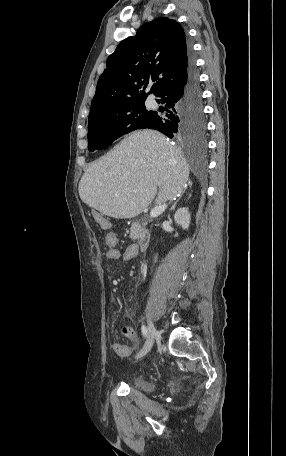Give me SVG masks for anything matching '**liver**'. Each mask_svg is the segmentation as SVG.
<instances>
[{
	"label": "liver",
	"mask_w": 286,
	"mask_h": 456,
	"mask_svg": "<svg viewBox=\"0 0 286 456\" xmlns=\"http://www.w3.org/2000/svg\"><path fill=\"white\" fill-rule=\"evenodd\" d=\"M189 167L181 150L154 130L136 131L92 163L79 183L81 200L113 218L139 215L186 188Z\"/></svg>",
	"instance_id": "1"
}]
</instances>
